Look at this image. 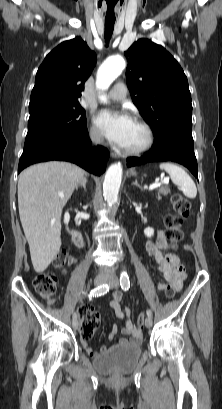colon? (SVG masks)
<instances>
[{
    "label": "colon",
    "mask_w": 222,
    "mask_h": 409,
    "mask_svg": "<svg viewBox=\"0 0 222 409\" xmlns=\"http://www.w3.org/2000/svg\"><path fill=\"white\" fill-rule=\"evenodd\" d=\"M174 212L168 214L165 218L166 224V238L172 244L176 245L182 238V231L180 229L181 224L189 217L190 214V202L182 195L176 193L171 198ZM169 258V257H168ZM67 262V254L65 251L58 252L53 261L52 266L54 269L63 267ZM34 288L37 293L49 302H54L57 291V277L53 273L42 272L39 273L33 281ZM175 289L168 287L165 291L166 297H173ZM79 315L82 321L80 329V335L82 339H90L100 325V318L98 312L90 306H82L79 309ZM148 316L146 311H143L138 319L137 323L142 327L144 318Z\"/></svg>",
    "instance_id": "colon-1"
}]
</instances>
